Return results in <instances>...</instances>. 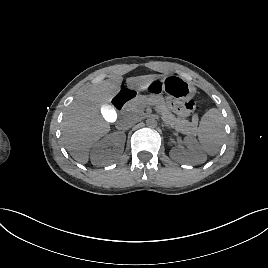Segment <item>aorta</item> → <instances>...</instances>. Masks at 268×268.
Returning a JSON list of instances; mask_svg holds the SVG:
<instances>
[{
  "mask_svg": "<svg viewBox=\"0 0 268 268\" xmlns=\"http://www.w3.org/2000/svg\"><path fill=\"white\" fill-rule=\"evenodd\" d=\"M157 124H158V122H157V119H156V117L155 116H149L148 118H147V120H146V125L148 126V127H150V128H155V127H157Z\"/></svg>",
  "mask_w": 268,
  "mask_h": 268,
  "instance_id": "aorta-1",
  "label": "aorta"
}]
</instances>
